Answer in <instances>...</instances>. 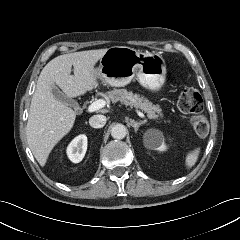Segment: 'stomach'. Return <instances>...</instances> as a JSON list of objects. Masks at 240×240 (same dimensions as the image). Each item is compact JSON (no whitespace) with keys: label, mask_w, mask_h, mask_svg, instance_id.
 Returning <instances> with one entry per match:
<instances>
[{"label":"stomach","mask_w":240,"mask_h":240,"mask_svg":"<svg viewBox=\"0 0 240 240\" xmlns=\"http://www.w3.org/2000/svg\"><path fill=\"white\" fill-rule=\"evenodd\" d=\"M97 80L115 87H123L137 77L150 91H158L165 83L166 63L159 54L139 52L124 46L108 48L95 68Z\"/></svg>","instance_id":"0dacf381"}]
</instances>
